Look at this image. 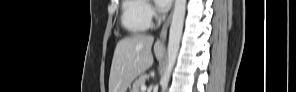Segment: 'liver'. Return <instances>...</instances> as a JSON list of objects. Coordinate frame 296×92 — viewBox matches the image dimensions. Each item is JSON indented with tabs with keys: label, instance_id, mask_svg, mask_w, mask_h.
Instances as JSON below:
<instances>
[{
	"label": "liver",
	"instance_id": "liver-1",
	"mask_svg": "<svg viewBox=\"0 0 296 92\" xmlns=\"http://www.w3.org/2000/svg\"><path fill=\"white\" fill-rule=\"evenodd\" d=\"M153 42V36L135 34L117 43L109 76V92H126L132 81L152 66ZM164 51V45L156 41L154 53L157 60H161Z\"/></svg>",
	"mask_w": 296,
	"mask_h": 92
}]
</instances>
